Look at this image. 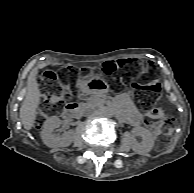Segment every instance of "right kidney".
Segmentation results:
<instances>
[{
    "label": "right kidney",
    "instance_id": "obj_1",
    "mask_svg": "<svg viewBox=\"0 0 194 193\" xmlns=\"http://www.w3.org/2000/svg\"><path fill=\"white\" fill-rule=\"evenodd\" d=\"M60 124V119L57 116H51L44 122L40 136L46 146L56 148L67 147L71 144L72 135L70 131L65 132L61 136L53 133L54 129L58 128Z\"/></svg>",
    "mask_w": 194,
    "mask_h": 193
}]
</instances>
